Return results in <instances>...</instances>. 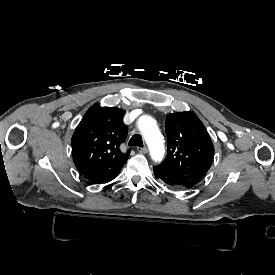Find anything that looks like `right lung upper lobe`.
<instances>
[{"mask_svg": "<svg viewBox=\"0 0 275 275\" xmlns=\"http://www.w3.org/2000/svg\"><path fill=\"white\" fill-rule=\"evenodd\" d=\"M124 114V110L99 104L85 113L71 140L74 164L82 175L124 166L130 155L119 148L127 136Z\"/></svg>", "mask_w": 275, "mask_h": 275, "instance_id": "obj_1", "label": "right lung upper lobe"}]
</instances>
